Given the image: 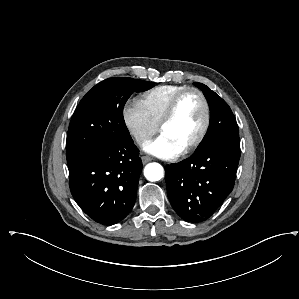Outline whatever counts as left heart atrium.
Wrapping results in <instances>:
<instances>
[{"label":"left heart atrium","instance_id":"39dd6f15","mask_svg":"<svg viewBox=\"0 0 299 299\" xmlns=\"http://www.w3.org/2000/svg\"><path fill=\"white\" fill-rule=\"evenodd\" d=\"M144 150L161 158L170 159L177 157L182 149L172 143L166 136L160 135L156 139L146 143Z\"/></svg>","mask_w":299,"mask_h":299}]
</instances>
